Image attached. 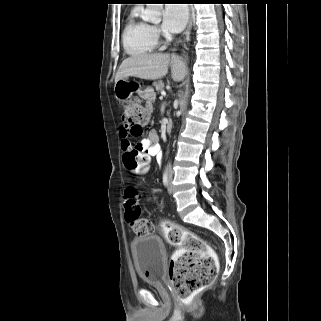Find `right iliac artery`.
<instances>
[{"label":"right iliac artery","mask_w":321,"mask_h":321,"mask_svg":"<svg viewBox=\"0 0 321 321\" xmlns=\"http://www.w3.org/2000/svg\"><path fill=\"white\" fill-rule=\"evenodd\" d=\"M163 184L165 186L168 185V174H167V171L165 170L164 173H163Z\"/></svg>","instance_id":"right-iliac-artery-1"}]
</instances>
